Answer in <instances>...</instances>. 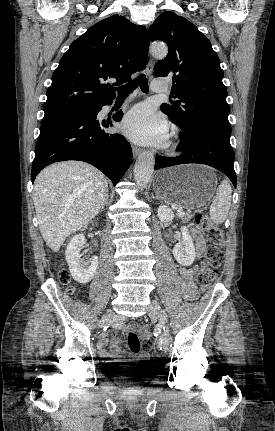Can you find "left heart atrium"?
Masks as SVG:
<instances>
[{
    "label": "left heart atrium",
    "instance_id": "obj_1",
    "mask_svg": "<svg viewBox=\"0 0 275 431\" xmlns=\"http://www.w3.org/2000/svg\"><path fill=\"white\" fill-rule=\"evenodd\" d=\"M121 130L129 139L143 145L163 146L168 139L165 118L147 104L131 109L121 123Z\"/></svg>",
    "mask_w": 275,
    "mask_h": 431
}]
</instances>
